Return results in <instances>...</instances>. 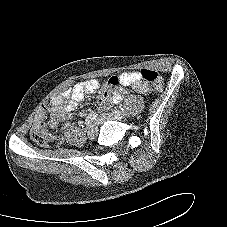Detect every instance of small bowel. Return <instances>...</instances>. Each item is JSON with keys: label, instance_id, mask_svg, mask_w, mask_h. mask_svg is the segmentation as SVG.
<instances>
[{"label": "small bowel", "instance_id": "1", "mask_svg": "<svg viewBox=\"0 0 227 227\" xmlns=\"http://www.w3.org/2000/svg\"><path fill=\"white\" fill-rule=\"evenodd\" d=\"M124 86H130L135 92L140 94L149 92V87L143 82L140 72H123L120 74V85L113 87L111 92H102L100 99L101 104L119 103L123 96ZM99 87V82L91 79L76 83L72 87L56 95L52 100L53 107L50 111V127L57 128L60 122L70 118L71 112L74 110L76 104L80 102L85 95L96 92ZM44 117V114L41 112L36 115L35 127Z\"/></svg>", "mask_w": 227, "mask_h": 227}]
</instances>
